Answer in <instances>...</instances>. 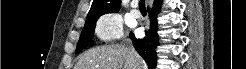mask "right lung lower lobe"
<instances>
[{
    "label": "right lung lower lobe",
    "instance_id": "98d812e1",
    "mask_svg": "<svg viewBox=\"0 0 246 69\" xmlns=\"http://www.w3.org/2000/svg\"><path fill=\"white\" fill-rule=\"evenodd\" d=\"M161 7V1L155 0L152 10L148 9L150 17V29L146 32V37L143 39L135 38L133 33H130V39L133 42V45L136 51L144 58L150 69H153L156 66V53L155 49L158 45V36H157V20L156 16L159 13Z\"/></svg>",
    "mask_w": 246,
    "mask_h": 69
}]
</instances>
